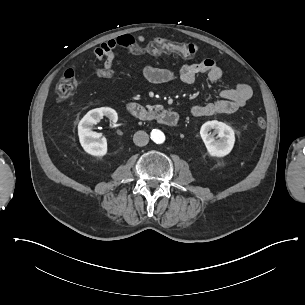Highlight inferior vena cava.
<instances>
[{
	"label": "inferior vena cava",
	"instance_id": "1",
	"mask_svg": "<svg viewBox=\"0 0 305 305\" xmlns=\"http://www.w3.org/2000/svg\"><path fill=\"white\" fill-rule=\"evenodd\" d=\"M133 142L137 146H145L149 142V136L145 131H137L133 136Z\"/></svg>",
	"mask_w": 305,
	"mask_h": 305
}]
</instances>
